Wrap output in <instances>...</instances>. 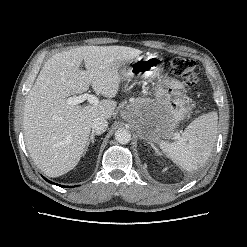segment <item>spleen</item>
<instances>
[{"label": "spleen", "instance_id": "3e777b00", "mask_svg": "<svg viewBox=\"0 0 247 247\" xmlns=\"http://www.w3.org/2000/svg\"><path fill=\"white\" fill-rule=\"evenodd\" d=\"M218 115L203 114L192 121L178 140L173 143L160 141L162 151L180 168L194 171L208 160L217 137Z\"/></svg>", "mask_w": 247, "mask_h": 247}]
</instances>
